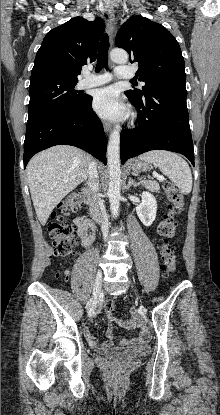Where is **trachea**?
Segmentation results:
<instances>
[{
	"label": "trachea",
	"instance_id": "3493384b",
	"mask_svg": "<svg viewBox=\"0 0 220 415\" xmlns=\"http://www.w3.org/2000/svg\"><path fill=\"white\" fill-rule=\"evenodd\" d=\"M108 50H109V37L105 33L100 41L99 48H98V60L96 65V72H100L102 68H107L108 63ZM131 82L135 83L136 80H131Z\"/></svg>",
	"mask_w": 220,
	"mask_h": 415
}]
</instances>
